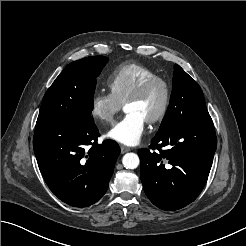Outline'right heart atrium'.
I'll use <instances>...</instances> for the list:
<instances>
[{
    "label": "right heart atrium",
    "instance_id": "right-heart-atrium-1",
    "mask_svg": "<svg viewBox=\"0 0 246 246\" xmlns=\"http://www.w3.org/2000/svg\"><path fill=\"white\" fill-rule=\"evenodd\" d=\"M121 104L111 93L96 92L90 102V114L94 120L103 124L112 123Z\"/></svg>",
    "mask_w": 246,
    "mask_h": 246
}]
</instances>
